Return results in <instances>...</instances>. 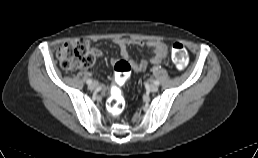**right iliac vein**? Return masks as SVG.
Masks as SVG:
<instances>
[{
  "label": "right iliac vein",
  "mask_w": 258,
  "mask_h": 158,
  "mask_svg": "<svg viewBox=\"0 0 258 158\" xmlns=\"http://www.w3.org/2000/svg\"><path fill=\"white\" fill-rule=\"evenodd\" d=\"M97 86H98V84H97L96 82H93V83H91V84L89 85V89H90V90H94V89L97 88Z\"/></svg>",
  "instance_id": "63e3f726"
}]
</instances>
